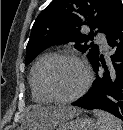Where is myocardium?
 <instances>
[{
    "instance_id": "f54148a6",
    "label": "myocardium",
    "mask_w": 123,
    "mask_h": 130,
    "mask_svg": "<svg viewBox=\"0 0 123 130\" xmlns=\"http://www.w3.org/2000/svg\"><path fill=\"white\" fill-rule=\"evenodd\" d=\"M64 60H71L78 63L84 70L86 74V80L83 84V86L80 88L78 92H76L74 95L69 97H63L60 96L54 89L52 84V73L55 69V67ZM92 72L90 68L87 66V64L78 56L71 54V53H60L57 55H54L53 58L49 61L47 66L44 69L43 72V87L45 92L48 94V96L56 102L59 103H71L82 97L86 91L89 89L91 83H92Z\"/></svg>"
}]
</instances>
